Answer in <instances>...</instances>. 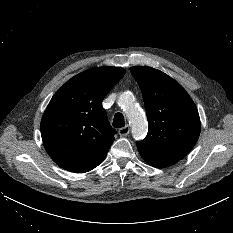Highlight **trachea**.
<instances>
[{
	"mask_svg": "<svg viewBox=\"0 0 233 233\" xmlns=\"http://www.w3.org/2000/svg\"><path fill=\"white\" fill-rule=\"evenodd\" d=\"M125 126L124 116L121 113H116L113 119V127L121 128Z\"/></svg>",
	"mask_w": 233,
	"mask_h": 233,
	"instance_id": "obj_1",
	"label": "trachea"
}]
</instances>
